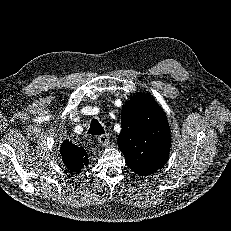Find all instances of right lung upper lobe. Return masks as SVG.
Returning <instances> with one entry per match:
<instances>
[{
    "label": "right lung upper lobe",
    "instance_id": "1",
    "mask_svg": "<svg viewBox=\"0 0 231 231\" xmlns=\"http://www.w3.org/2000/svg\"><path fill=\"white\" fill-rule=\"evenodd\" d=\"M60 153L63 163L72 172L80 171L84 167V165H87L89 163L86 152L82 151V153L80 154H75L65 150L64 148H61Z\"/></svg>",
    "mask_w": 231,
    "mask_h": 231
}]
</instances>
